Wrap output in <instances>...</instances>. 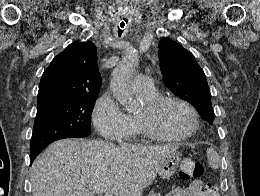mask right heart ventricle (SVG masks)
Masks as SVG:
<instances>
[{
    "label": "right heart ventricle",
    "mask_w": 260,
    "mask_h": 196,
    "mask_svg": "<svg viewBox=\"0 0 260 196\" xmlns=\"http://www.w3.org/2000/svg\"><path fill=\"white\" fill-rule=\"evenodd\" d=\"M135 92L144 103H147V102L152 101L155 98L159 97V94L155 88H153L151 91H147V92H140V91H135ZM130 118H131V122H132V128L139 129L136 115H131Z\"/></svg>",
    "instance_id": "e07e8e85"
}]
</instances>
